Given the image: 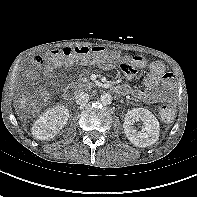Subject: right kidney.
<instances>
[{
  "label": "right kidney",
  "instance_id": "ca27d5eb",
  "mask_svg": "<svg viewBox=\"0 0 197 197\" xmlns=\"http://www.w3.org/2000/svg\"><path fill=\"white\" fill-rule=\"evenodd\" d=\"M69 110L65 106H55L45 111L32 127V135L39 140H50L65 126Z\"/></svg>",
  "mask_w": 197,
  "mask_h": 197
}]
</instances>
